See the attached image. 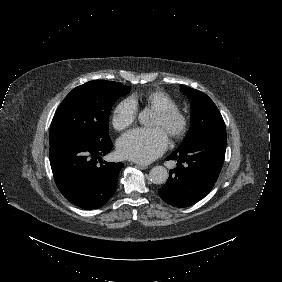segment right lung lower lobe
I'll use <instances>...</instances> for the list:
<instances>
[{"instance_id":"obj_1","label":"right lung lower lobe","mask_w":282,"mask_h":282,"mask_svg":"<svg viewBox=\"0 0 282 282\" xmlns=\"http://www.w3.org/2000/svg\"><path fill=\"white\" fill-rule=\"evenodd\" d=\"M112 149L111 140L76 136L50 145L49 158L55 182L70 202L83 209L103 206L114 194L124 164H98Z\"/></svg>"}]
</instances>
